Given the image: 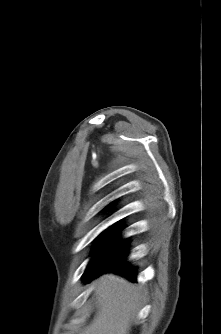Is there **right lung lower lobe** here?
I'll use <instances>...</instances> for the list:
<instances>
[{
    "label": "right lung lower lobe",
    "instance_id": "1",
    "mask_svg": "<svg viewBox=\"0 0 221 334\" xmlns=\"http://www.w3.org/2000/svg\"><path fill=\"white\" fill-rule=\"evenodd\" d=\"M126 255L127 251L125 249L121 254H119L116 258H114L108 265L85 276L86 282L91 281L94 277L105 272H115L135 282L137 270L136 267L130 266V264L125 260Z\"/></svg>",
    "mask_w": 221,
    "mask_h": 334
}]
</instances>
